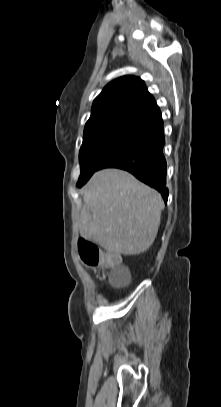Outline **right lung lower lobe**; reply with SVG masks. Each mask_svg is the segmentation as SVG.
Wrapping results in <instances>:
<instances>
[{"mask_svg": "<svg viewBox=\"0 0 221 407\" xmlns=\"http://www.w3.org/2000/svg\"><path fill=\"white\" fill-rule=\"evenodd\" d=\"M164 144L163 120L159 113L140 125L104 160L100 169L112 167L132 173L140 181L157 189L166 203L168 189Z\"/></svg>", "mask_w": 221, "mask_h": 407, "instance_id": "obj_1", "label": "right lung lower lobe"}]
</instances>
